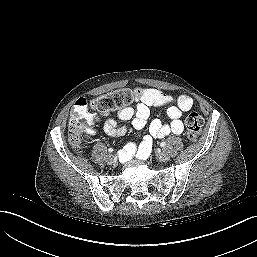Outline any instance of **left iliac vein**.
Segmentation results:
<instances>
[{"label":"left iliac vein","mask_w":257,"mask_h":257,"mask_svg":"<svg viewBox=\"0 0 257 257\" xmlns=\"http://www.w3.org/2000/svg\"><path fill=\"white\" fill-rule=\"evenodd\" d=\"M156 158H157V160L160 161V162H167V161H169V159H170L168 153H166V152L158 153L157 156H156Z\"/></svg>","instance_id":"left-iliac-vein-1"}]
</instances>
